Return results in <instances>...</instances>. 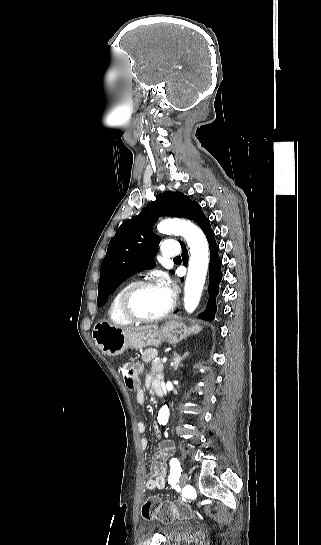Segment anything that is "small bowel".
<instances>
[{
	"instance_id": "c3829d8e",
	"label": "small bowel",
	"mask_w": 321,
	"mask_h": 545,
	"mask_svg": "<svg viewBox=\"0 0 321 545\" xmlns=\"http://www.w3.org/2000/svg\"><path fill=\"white\" fill-rule=\"evenodd\" d=\"M145 385L147 387L151 386L156 393H157V390H160L162 392L160 380L158 378L152 377L151 375H148L146 377ZM136 401L139 404L144 403L145 396L142 390H138L136 392ZM137 430L140 434L145 433L146 427L144 423L139 422L137 424ZM140 445H141V448L145 450L148 446V440L146 438H142L140 441ZM172 452H173V446L169 441L162 440L159 443L158 451L156 455L154 456L150 466L151 478H149L145 484L148 490L164 488L165 482H166V474H167L165 461L172 454Z\"/></svg>"
}]
</instances>
